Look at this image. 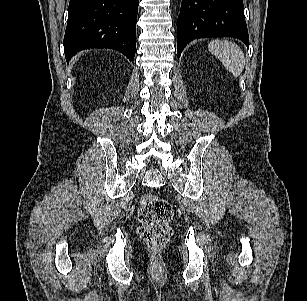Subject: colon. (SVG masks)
I'll use <instances>...</instances> for the list:
<instances>
[{"label": "colon", "instance_id": "1", "mask_svg": "<svg viewBox=\"0 0 307 301\" xmlns=\"http://www.w3.org/2000/svg\"><path fill=\"white\" fill-rule=\"evenodd\" d=\"M172 217L173 209L166 199L154 194L142 197L138 209L141 223L138 234L149 248L159 249L168 243L172 236Z\"/></svg>", "mask_w": 307, "mask_h": 301}]
</instances>
